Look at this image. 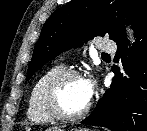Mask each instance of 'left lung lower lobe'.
Segmentation results:
<instances>
[{"label":"left lung lower lobe","mask_w":147,"mask_h":131,"mask_svg":"<svg viewBox=\"0 0 147 131\" xmlns=\"http://www.w3.org/2000/svg\"><path fill=\"white\" fill-rule=\"evenodd\" d=\"M135 48L128 41L117 42L110 89L106 90L93 112L81 123L111 131H147V24L135 35ZM129 56V57H128Z\"/></svg>","instance_id":"left-lung-lower-lobe-1"}]
</instances>
